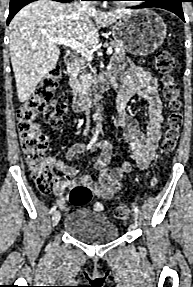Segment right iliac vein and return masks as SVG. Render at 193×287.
Masks as SVG:
<instances>
[{"mask_svg": "<svg viewBox=\"0 0 193 287\" xmlns=\"http://www.w3.org/2000/svg\"><path fill=\"white\" fill-rule=\"evenodd\" d=\"M60 216H61L60 211H55L53 213V216H52V225L53 226H56L59 223Z\"/></svg>", "mask_w": 193, "mask_h": 287, "instance_id": "right-iliac-vein-1", "label": "right iliac vein"}]
</instances>
